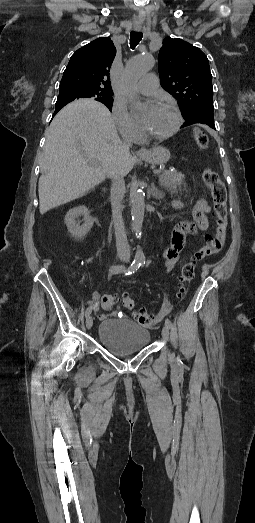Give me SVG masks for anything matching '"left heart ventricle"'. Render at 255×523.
<instances>
[{
    "label": "left heart ventricle",
    "mask_w": 255,
    "mask_h": 523,
    "mask_svg": "<svg viewBox=\"0 0 255 523\" xmlns=\"http://www.w3.org/2000/svg\"><path fill=\"white\" fill-rule=\"evenodd\" d=\"M176 115L174 110L162 105L148 112L142 123V131L149 138H156L169 133L175 126Z\"/></svg>",
    "instance_id": "left-heart-ventricle-1"
}]
</instances>
